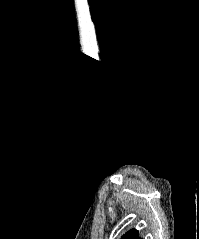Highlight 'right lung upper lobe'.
<instances>
[{"label": "right lung upper lobe", "instance_id": "cb5924a9", "mask_svg": "<svg viewBox=\"0 0 199 239\" xmlns=\"http://www.w3.org/2000/svg\"><path fill=\"white\" fill-rule=\"evenodd\" d=\"M121 239H141L138 235V231L136 229H131L125 235L121 237Z\"/></svg>", "mask_w": 199, "mask_h": 239}]
</instances>
